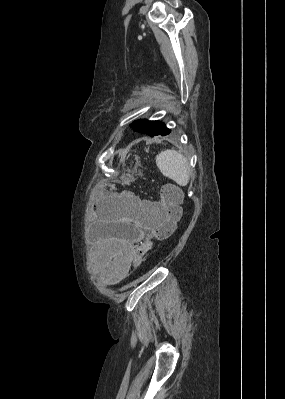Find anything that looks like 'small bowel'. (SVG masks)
Listing matches in <instances>:
<instances>
[{"mask_svg":"<svg viewBox=\"0 0 285 399\" xmlns=\"http://www.w3.org/2000/svg\"><path fill=\"white\" fill-rule=\"evenodd\" d=\"M180 194L176 187H170ZM161 201L149 202L133 196L129 206L124 208L120 222L122 237L119 239L117 250L112 255L109 265V277L122 279L129 272L134 262L135 246L152 236L165 222L166 215L160 209Z\"/></svg>","mask_w":285,"mask_h":399,"instance_id":"1","label":"small bowel"}]
</instances>
